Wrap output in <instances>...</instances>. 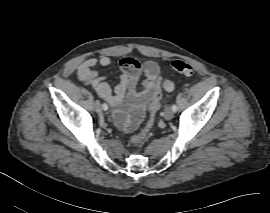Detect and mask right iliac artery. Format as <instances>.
<instances>
[{
	"label": "right iliac artery",
	"mask_w": 270,
	"mask_h": 213,
	"mask_svg": "<svg viewBox=\"0 0 270 213\" xmlns=\"http://www.w3.org/2000/svg\"><path fill=\"white\" fill-rule=\"evenodd\" d=\"M102 108H103L104 110H107V109H108L107 104H106V103H103Z\"/></svg>",
	"instance_id": "82829eb1"
}]
</instances>
